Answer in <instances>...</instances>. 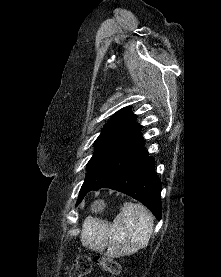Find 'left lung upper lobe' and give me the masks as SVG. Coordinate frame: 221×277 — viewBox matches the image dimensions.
Returning <instances> with one entry per match:
<instances>
[{"instance_id": "1", "label": "left lung upper lobe", "mask_w": 221, "mask_h": 277, "mask_svg": "<svg viewBox=\"0 0 221 277\" xmlns=\"http://www.w3.org/2000/svg\"><path fill=\"white\" fill-rule=\"evenodd\" d=\"M135 119L136 115L126 107L115 113L105 125L94 143L95 151L87 163V174L80 193L87 186L113 175L143 149L142 126L136 124Z\"/></svg>"}]
</instances>
